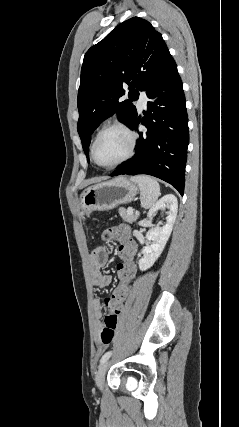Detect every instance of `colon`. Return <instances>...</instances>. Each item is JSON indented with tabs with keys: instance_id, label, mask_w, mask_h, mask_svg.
I'll return each instance as SVG.
<instances>
[{
	"instance_id": "obj_1",
	"label": "colon",
	"mask_w": 239,
	"mask_h": 427,
	"mask_svg": "<svg viewBox=\"0 0 239 427\" xmlns=\"http://www.w3.org/2000/svg\"><path fill=\"white\" fill-rule=\"evenodd\" d=\"M109 229H106L102 238L109 244H118L117 253L120 262L116 263V281L118 284L105 296L104 303L108 305L105 317V326L101 331L100 338L104 345H109L114 339L122 305L125 298H129L132 292L133 282L137 276L138 263L136 262L137 243L130 235V226L127 222H113Z\"/></svg>"
}]
</instances>
